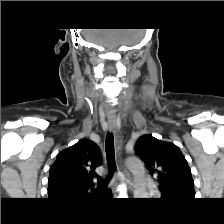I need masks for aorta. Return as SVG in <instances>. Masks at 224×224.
<instances>
[{"mask_svg": "<svg viewBox=\"0 0 224 224\" xmlns=\"http://www.w3.org/2000/svg\"><path fill=\"white\" fill-rule=\"evenodd\" d=\"M126 166L133 175L134 198H148L145 169L142 161L135 157L126 159Z\"/></svg>", "mask_w": 224, "mask_h": 224, "instance_id": "1", "label": "aorta"}]
</instances>
